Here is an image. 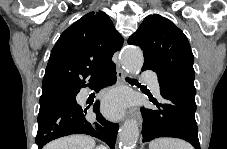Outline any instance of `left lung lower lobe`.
<instances>
[{"instance_id":"obj_1","label":"left lung lower lobe","mask_w":227,"mask_h":149,"mask_svg":"<svg viewBox=\"0 0 227 149\" xmlns=\"http://www.w3.org/2000/svg\"><path fill=\"white\" fill-rule=\"evenodd\" d=\"M142 70L152 69L144 66ZM156 74L163 102L158 103L156 100L150 99L158 109L141 108L142 141L148 142L159 137H173L188 141L195 149H200L195 120V95L172 85L161 75Z\"/></svg>"}]
</instances>
